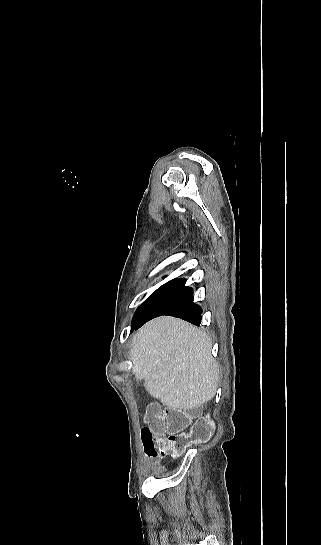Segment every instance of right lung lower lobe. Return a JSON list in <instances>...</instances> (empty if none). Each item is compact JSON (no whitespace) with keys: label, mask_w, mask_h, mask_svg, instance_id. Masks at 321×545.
<instances>
[{"label":"right lung lower lobe","mask_w":321,"mask_h":545,"mask_svg":"<svg viewBox=\"0 0 321 545\" xmlns=\"http://www.w3.org/2000/svg\"><path fill=\"white\" fill-rule=\"evenodd\" d=\"M185 282L184 279H175L163 285L144 311L133 320L132 330L161 315L178 317L200 325L202 309L193 303V291L185 286Z\"/></svg>","instance_id":"98d812e1"}]
</instances>
